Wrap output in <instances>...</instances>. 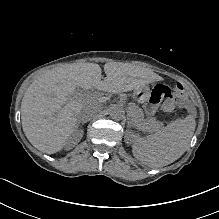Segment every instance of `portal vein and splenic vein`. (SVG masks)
<instances>
[{
    "label": "portal vein and splenic vein",
    "instance_id": "1",
    "mask_svg": "<svg viewBox=\"0 0 219 219\" xmlns=\"http://www.w3.org/2000/svg\"><path fill=\"white\" fill-rule=\"evenodd\" d=\"M90 95H91V93H86V94L80 95V97H81L82 99H86V98L90 97Z\"/></svg>",
    "mask_w": 219,
    "mask_h": 219
}]
</instances>
